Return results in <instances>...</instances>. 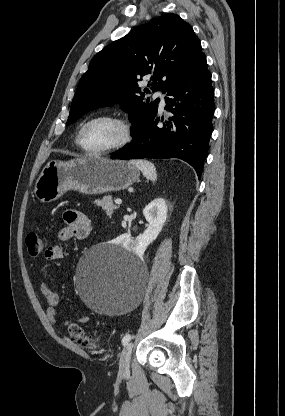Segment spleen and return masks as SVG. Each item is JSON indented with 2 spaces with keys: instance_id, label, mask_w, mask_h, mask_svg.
Here are the masks:
<instances>
[{
  "instance_id": "3e777b00",
  "label": "spleen",
  "mask_w": 285,
  "mask_h": 416,
  "mask_svg": "<svg viewBox=\"0 0 285 416\" xmlns=\"http://www.w3.org/2000/svg\"><path fill=\"white\" fill-rule=\"evenodd\" d=\"M130 164H133V166L139 168L144 178H147V180H151V182H156L157 172L154 164H151V162H147V160H130Z\"/></svg>"
}]
</instances>
